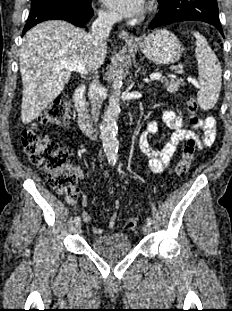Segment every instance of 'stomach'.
Wrapping results in <instances>:
<instances>
[{"label": "stomach", "instance_id": "stomach-1", "mask_svg": "<svg viewBox=\"0 0 232 311\" xmlns=\"http://www.w3.org/2000/svg\"><path fill=\"white\" fill-rule=\"evenodd\" d=\"M140 48L150 61L159 65L174 63L182 54V46L178 38L164 29L149 34Z\"/></svg>", "mask_w": 232, "mask_h": 311}]
</instances>
